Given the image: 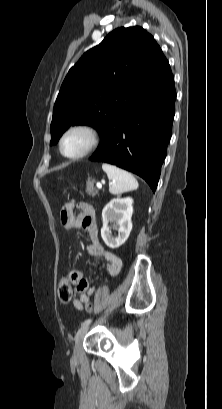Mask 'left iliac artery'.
Wrapping results in <instances>:
<instances>
[{
	"mask_svg": "<svg viewBox=\"0 0 222 409\" xmlns=\"http://www.w3.org/2000/svg\"><path fill=\"white\" fill-rule=\"evenodd\" d=\"M92 322V319H87L82 323V326L89 325Z\"/></svg>",
	"mask_w": 222,
	"mask_h": 409,
	"instance_id": "obj_1",
	"label": "left iliac artery"
}]
</instances>
